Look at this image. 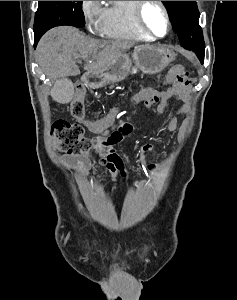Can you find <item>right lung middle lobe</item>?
Masks as SVG:
<instances>
[{
	"mask_svg": "<svg viewBox=\"0 0 237 300\" xmlns=\"http://www.w3.org/2000/svg\"><path fill=\"white\" fill-rule=\"evenodd\" d=\"M35 14V44L49 29L60 25L83 27L85 25L82 1H38Z\"/></svg>",
	"mask_w": 237,
	"mask_h": 300,
	"instance_id": "1",
	"label": "right lung middle lobe"
}]
</instances>
